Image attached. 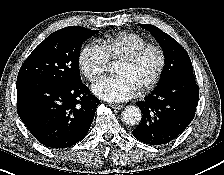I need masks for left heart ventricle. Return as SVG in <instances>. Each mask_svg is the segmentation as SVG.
I'll use <instances>...</instances> for the list:
<instances>
[{
  "label": "left heart ventricle",
  "instance_id": "1",
  "mask_svg": "<svg viewBox=\"0 0 224 175\" xmlns=\"http://www.w3.org/2000/svg\"><path fill=\"white\" fill-rule=\"evenodd\" d=\"M158 60V54L155 51H148L132 66L119 62L116 65L115 74L128 78L137 89L152 78L157 69Z\"/></svg>",
  "mask_w": 224,
  "mask_h": 175
}]
</instances>
